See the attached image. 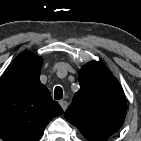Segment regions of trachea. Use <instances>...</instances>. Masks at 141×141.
I'll use <instances>...</instances> for the list:
<instances>
[{"label":"trachea","instance_id":"obj_1","mask_svg":"<svg viewBox=\"0 0 141 141\" xmlns=\"http://www.w3.org/2000/svg\"><path fill=\"white\" fill-rule=\"evenodd\" d=\"M63 98V90L60 86L55 87L54 99L59 100Z\"/></svg>","mask_w":141,"mask_h":141}]
</instances>
